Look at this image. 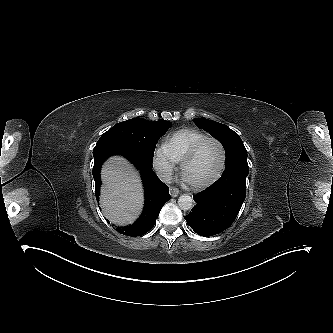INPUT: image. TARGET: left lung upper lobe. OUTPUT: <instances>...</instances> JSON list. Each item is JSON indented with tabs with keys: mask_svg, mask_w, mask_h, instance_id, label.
<instances>
[{
	"mask_svg": "<svg viewBox=\"0 0 333 333\" xmlns=\"http://www.w3.org/2000/svg\"><path fill=\"white\" fill-rule=\"evenodd\" d=\"M193 121L199 128L204 129L218 139L224 146L227 163L226 169L219 179L223 182L245 183L249 172L247 150L239 135L228 126L213 120L195 118Z\"/></svg>",
	"mask_w": 333,
	"mask_h": 333,
	"instance_id": "5c2ea615",
	"label": "left lung upper lobe"
}]
</instances>
